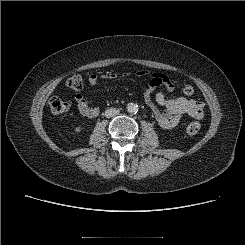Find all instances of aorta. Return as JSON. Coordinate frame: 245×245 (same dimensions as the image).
<instances>
[{
  "label": "aorta",
  "instance_id": "1",
  "mask_svg": "<svg viewBox=\"0 0 245 245\" xmlns=\"http://www.w3.org/2000/svg\"><path fill=\"white\" fill-rule=\"evenodd\" d=\"M127 110L131 114H136L138 112V105L135 103H130L127 105Z\"/></svg>",
  "mask_w": 245,
  "mask_h": 245
}]
</instances>
